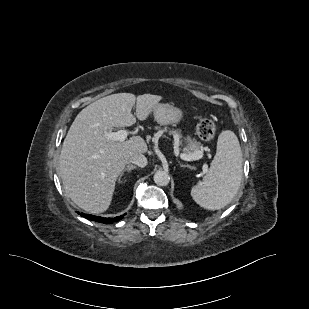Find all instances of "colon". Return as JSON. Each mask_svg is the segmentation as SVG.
Instances as JSON below:
<instances>
[{
    "instance_id": "1",
    "label": "colon",
    "mask_w": 309,
    "mask_h": 309,
    "mask_svg": "<svg viewBox=\"0 0 309 309\" xmlns=\"http://www.w3.org/2000/svg\"><path fill=\"white\" fill-rule=\"evenodd\" d=\"M215 133V123L209 118H202L197 125V134L204 142H209Z\"/></svg>"
}]
</instances>
